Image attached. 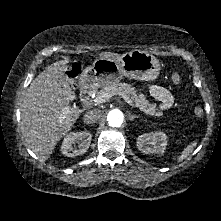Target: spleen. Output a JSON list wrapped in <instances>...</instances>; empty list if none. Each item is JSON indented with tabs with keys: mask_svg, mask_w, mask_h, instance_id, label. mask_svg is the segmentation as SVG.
<instances>
[{
	"mask_svg": "<svg viewBox=\"0 0 221 221\" xmlns=\"http://www.w3.org/2000/svg\"><path fill=\"white\" fill-rule=\"evenodd\" d=\"M197 142L192 143L191 145L187 146L181 153V155L178 157V161H182L185 158H187V156L192 153V151L194 150V147L196 146Z\"/></svg>",
	"mask_w": 221,
	"mask_h": 221,
	"instance_id": "obj_1",
	"label": "spleen"
}]
</instances>
